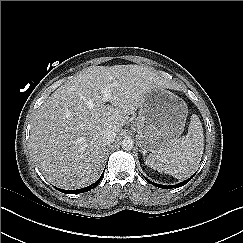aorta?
I'll list each match as a JSON object with an SVG mask.
<instances>
[{
    "label": "aorta",
    "mask_w": 243,
    "mask_h": 243,
    "mask_svg": "<svg viewBox=\"0 0 243 243\" xmlns=\"http://www.w3.org/2000/svg\"><path fill=\"white\" fill-rule=\"evenodd\" d=\"M121 146L123 150L130 151L134 147V141L131 138L126 137L123 139Z\"/></svg>",
    "instance_id": "obj_1"
}]
</instances>
